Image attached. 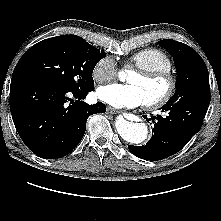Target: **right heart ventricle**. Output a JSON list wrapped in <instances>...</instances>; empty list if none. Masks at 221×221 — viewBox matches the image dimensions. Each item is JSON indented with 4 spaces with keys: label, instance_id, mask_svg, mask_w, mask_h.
I'll return each instance as SVG.
<instances>
[{
    "label": "right heart ventricle",
    "instance_id": "obj_1",
    "mask_svg": "<svg viewBox=\"0 0 221 221\" xmlns=\"http://www.w3.org/2000/svg\"><path fill=\"white\" fill-rule=\"evenodd\" d=\"M131 63L138 69L145 70H168L172 68L170 57L160 49L146 48L136 52Z\"/></svg>",
    "mask_w": 221,
    "mask_h": 221
}]
</instances>
